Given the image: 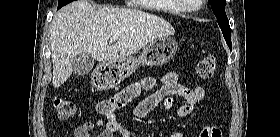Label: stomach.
Segmentation results:
<instances>
[{
    "mask_svg": "<svg viewBox=\"0 0 280 137\" xmlns=\"http://www.w3.org/2000/svg\"><path fill=\"white\" fill-rule=\"evenodd\" d=\"M177 42L168 36L150 42L138 58L110 60L99 65L98 75L93 79V86L99 90L115 87L129 77L139 66H161L168 63L175 55Z\"/></svg>",
    "mask_w": 280,
    "mask_h": 137,
    "instance_id": "stomach-1",
    "label": "stomach"
}]
</instances>
